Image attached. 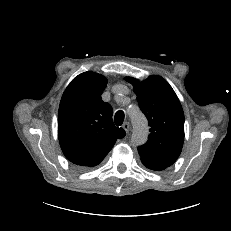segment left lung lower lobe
<instances>
[{
    "mask_svg": "<svg viewBox=\"0 0 231 231\" xmlns=\"http://www.w3.org/2000/svg\"><path fill=\"white\" fill-rule=\"evenodd\" d=\"M143 165L151 170H155V171H160V170H164L165 168H161V167H156V166H149L147 164H145L144 162H142Z\"/></svg>",
    "mask_w": 231,
    "mask_h": 231,
    "instance_id": "left-lung-lower-lobe-1",
    "label": "left lung lower lobe"
}]
</instances>
